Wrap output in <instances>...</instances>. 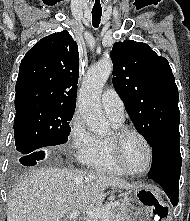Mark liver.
Instances as JSON below:
<instances>
[{
	"label": "liver",
	"instance_id": "1",
	"mask_svg": "<svg viewBox=\"0 0 190 221\" xmlns=\"http://www.w3.org/2000/svg\"><path fill=\"white\" fill-rule=\"evenodd\" d=\"M116 176L57 167H41L25 172L14 185L8 200L7 221H71L73 210L85 214L100 207L109 187L133 189Z\"/></svg>",
	"mask_w": 190,
	"mask_h": 221
}]
</instances>
